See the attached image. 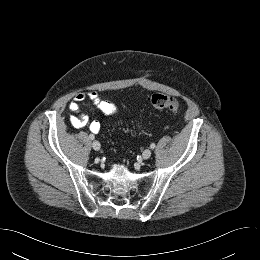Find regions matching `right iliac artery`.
I'll return each instance as SVG.
<instances>
[{"label": "right iliac artery", "instance_id": "obj_1", "mask_svg": "<svg viewBox=\"0 0 260 260\" xmlns=\"http://www.w3.org/2000/svg\"><path fill=\"white\" fill-rule=\"evenodd\" d=\"M89 138H90L91 140H93L95 137H94L93 134H90V135H89Z\"/></svg>", "mask_w": 260, "mask_h": 260}]
</instances>
